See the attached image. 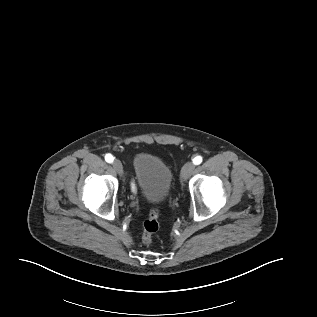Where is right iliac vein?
<instances>
[{"instance_id": "1", "label": "right iliac vein", "mask_w": 317, "mask_h": 317, "mask_svg": "<svg viewBox=\"0 0 317 317\" xmlns=\"http://www.w3.org/2000/svg\"><path fill=\"white\" fill-rule=\"evenodd\" d=\"M113 168L115 169V171L122 176L123 175V166L122 163L119 160H114L112 163Z\"/></svg>"}]
</instances>
